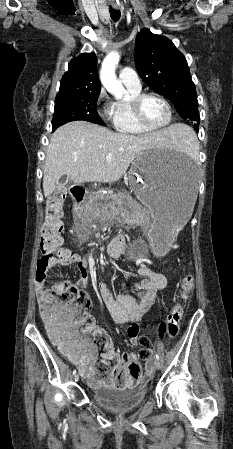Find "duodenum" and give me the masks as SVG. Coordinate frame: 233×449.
I'll return each instance as SVG.
<instances>
[{
  "label": "duodenum",
  "mask_w": 233,
  "mask_h": 449,
  "mask_svg": "<svg viewBox=\"0 0 233 449\" xmlns=\"http://www.w3.org/2000/svg\"><path fill=\"white\" fill-rule=\"evenodd\" d=\"M70 194L74 197V204L76 205V208L79 209V207L83 204V202L86 200L88 192L86 186H71L70 187ZM125 249V242L122 236H116L109 245V251L112 254H119L120 252L124 251Z\"/></svg>",
  "instance_id": "410a0bca"
}]
</instances>
